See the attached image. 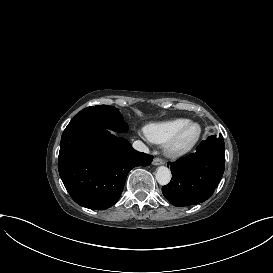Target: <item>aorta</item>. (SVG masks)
Here are the masks:
<instances>
[{
	"label": "aorta",
	"instance_id": "obj_1",
	"mask_svg": "<svg viewBox=\"0 0 273 273\" xmlns=\"http://www.w3.org/2000/svg\"><path fill=\"white\" fill-rule=\"evenodd\" d=\"M155 176L157 182L162 186L167 185L172 178L171 171L166 166L158 167Z\"/></svg>",
	"mask_w": 273,
	"mask_h": 273
}]
</instances>
